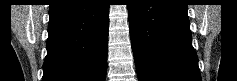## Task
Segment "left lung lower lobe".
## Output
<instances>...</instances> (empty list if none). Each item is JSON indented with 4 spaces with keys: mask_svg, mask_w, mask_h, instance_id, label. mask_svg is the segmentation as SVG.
<instances>
[{
    "mask_svg": "<svg viewBox=\"0 0 237 81\" xmlns=\"http://www.w3.org/2000/svg\"><path fill=\"white\" fill-rule=\"evenodd\" d=\"M184 0H132L128 5L139 81H201Z\"/></svg>",
    "mask_w": 237,
    "mask_h": 81,
    "instance_id": "obj_1",
    "label": "left lung lower lobe"
}]
</instances>
